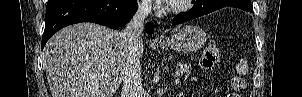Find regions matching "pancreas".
I'll return each instance as SVG.
<instances>
[{"label": "pancreas", "instance_id": "1", "mask_svg": "<svg viewBox=\"0 0 302 97\" xmlns=\"http://www.w3.org/2000/svg\"><path fill=\"white\" fill-rule=\"evenodd\" d=\"M177 72L181 76L184 75L185 77H188L191 73V66L187 63H178Z\"/></svg>", "mask_w": 302, "mask_h": 97}]
</instances>
